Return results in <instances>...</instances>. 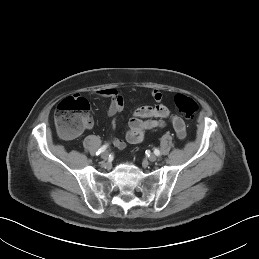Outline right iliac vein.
I'll return each mask as SVG.
<instances>
[{"label": "right iliac vein", "mask_w": 259, "mask_h": 259, "mask_svg": "<svg viewBox=\"0 0 259 259\" xmlns=\"http://www.w3.org/2000/svg\"><path fill=\"white\" fill-rule=\"evenodd\" d=\"M108 155L109 153L107 151H104L102 154H101V158L106 160L108 158Z\"/></svg>", "instance_id": "1"}]
</instances>
